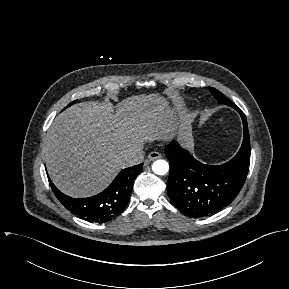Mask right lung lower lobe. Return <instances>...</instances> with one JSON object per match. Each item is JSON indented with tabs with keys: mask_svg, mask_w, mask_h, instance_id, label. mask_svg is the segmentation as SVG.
<instances>
[{
	"mask_svg": "<svg viewBox=\"0 0 289 289\" xmlns=\"http://www.w3.org/2000/svg\"><path fill=\"white\" fill-rule=\"evenodd\" d=\"M143 163L123 169L114 181L101 193L89 198H71L50 181V186L58 200L80 218L103 223L114 218L127 205L136 176L141 172Z\"/></svg>",
	"mask_w": 289,
	"mask_h": 289,
	"instance_id": "obj_1",
	"label": "right lung lower lobe"
}]
</instances>
